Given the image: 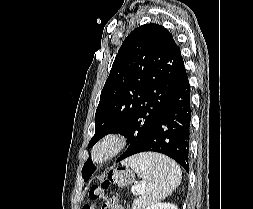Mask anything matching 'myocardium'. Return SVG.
Instances as JSON below:
<instances>
[{
    "instance_id": "f54148a6",
    "label": "myocardium",
    "mask_w": 253,
    "mask_h": 209,
    "mask_svg": "<svg viewBox=\"0 0 253 209\" xmlns=\"http://www.w3.org/2000/svg\"><path fill=\"white\" fill-rule=\"evenodd\" d=\"M126 145L124 134L111 131L104 134L91 149V160L94 165H103L120 153Z\"/></svg>"
}]
</instances>
